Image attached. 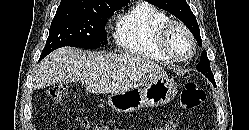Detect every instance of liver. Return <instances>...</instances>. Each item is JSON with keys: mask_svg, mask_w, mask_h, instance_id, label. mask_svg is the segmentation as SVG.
Segmentation results:
<instances>
[{"mask_svg": "<svg viewBox=\"0 0 249 130\" xmlns=\"http://www.w3.org/2000/svg\"><path fill=\"white\" fill-rule=\"evenodd\" d=\"M159 78H167L166 72L146 58L64 47L40 62L33 87L40 89L80 81L87 92L113 94L138 88Z\"/></svg>", "mask_w": 249, "mask_h": 130, "instance_id": "1", "label": "liver"}]
</instances>
